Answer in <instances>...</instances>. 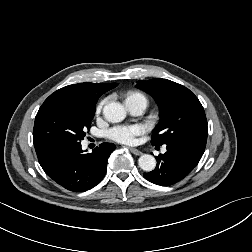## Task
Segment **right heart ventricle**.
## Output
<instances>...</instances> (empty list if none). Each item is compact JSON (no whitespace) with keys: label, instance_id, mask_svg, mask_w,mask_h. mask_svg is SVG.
Instances as JSON below:
<instances>
[{"label":"right heart ventricle","instance_id":"right-heart-ventricle-1","mask_svg":"<svg viewBox=\"0 0 252 252\" xmlns=\"http://www.w3.org/2000/svg\"><path fill=\"white\" fill-rule=\"evenodd\" d=\"M130 97H142V98H144L145 99V97L142 95V94H140V93H131V94H129L128 96H127V98H130ZM126 98V99H127ZM146 100V99H145Z\"/></svg>","mask_w":252,"mask_h":252}]
</instances>
